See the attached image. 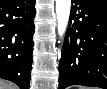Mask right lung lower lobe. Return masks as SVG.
Masks as SVG:
<instances>
[{
  "mask_svg": "<svg viewBox=\"0 0 107 89\" xmlns=\"http://www.w3.org/2000/svg\"><path fill=\"white\" fill-rule=\"evenodd\" d=\"M34 0H0V78L29 89Z\"/></svg>",
  "mask_w": 107,
  "mask_h": 89,
  "instance_id": "right-lung-lower-lobe-1",
  "label": "right lung lower lobe"
}]
</instances>
